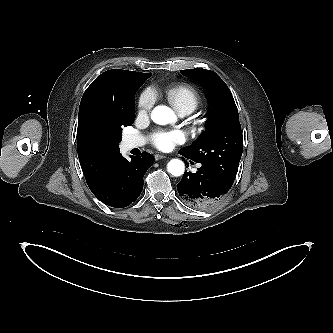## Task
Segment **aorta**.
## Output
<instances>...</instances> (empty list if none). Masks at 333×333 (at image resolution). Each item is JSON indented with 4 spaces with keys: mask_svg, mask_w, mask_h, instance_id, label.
I'll list each match as a JSON object with an SVG mask.
<instances>
[{
    "mask_svg": "<svg viewBox=\"0 0 333 333\" xmlns=\"http://www.w3.org/2000/svg\"><path fill=\"white\" fill-rule=\"evenodd\" d=\"M151 119L159 125H166L176 120L173 110L167 106H156L151 113ZM168 172L173 176H181L185 171L184 163L179 159L169 161Z\"/></svg>",
    "mask_w": 333,
    "mask_h": 333,
    "instance_id": "1",
    "label": "aorta"
}]
</instances>
